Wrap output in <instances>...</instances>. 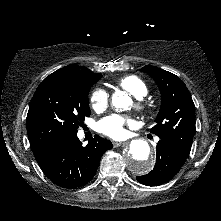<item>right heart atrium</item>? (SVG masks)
<instances>
[{
  "instance_id": "1",
  "label": "right heart atrium",
  "mask_w": 221,
  "mask_h": 221,
  "mask_svg": "<svg viewBox=\"0 0 221 221\" xmlns=\"http://www.w3.org/2000/svg\"><path fill=\"white\" fill-rule=\"evenodd\" d=\"M109 103V95L106 90L96 88L90 96V104L93 110L101 112L105 110Z\"/></svg>"
}]
</instances>
